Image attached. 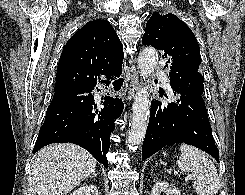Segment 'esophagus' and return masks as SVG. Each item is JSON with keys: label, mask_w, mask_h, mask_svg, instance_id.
<instances>
[{"label": "esophagus", "mask_w": 245, "mask_h": 195, "mask_svg": "<svg viewBox=\"0 0 245 195\" xmlns=\"http://www.w3.org/2000/svg\"><path fill=\"white\" fill-rule=\"evenodd\" d=\"M138 84H139L138 74L136 72L135 66L133 65L132 66L131 88H130L129 99H131L134 96V93H135V90H136Z\"/></svg>", "instance_id": "1"}]
</instances>
